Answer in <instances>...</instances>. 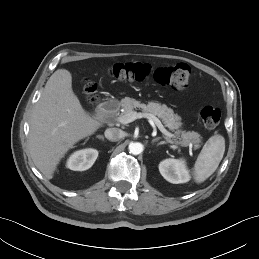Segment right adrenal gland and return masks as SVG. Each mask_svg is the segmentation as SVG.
Wrapping results in <instances>:
<instances>
[{
	"label": "right adrenal gland",
	"instance_id": "1",
	"mask_svg": "<svg viewBox=\"0 0 259 259\" xmlns=\"http://www.w3.org/2000/svg\"><path fill=\"white\" fill-rule=\"evenodd\" d=\"M97 138L100 139V140H102V141H104V137L101 136V135L97 136Z\"/></svg>",
	"mask_w": 259,
	"mask_h": 259
}]
</instances>
